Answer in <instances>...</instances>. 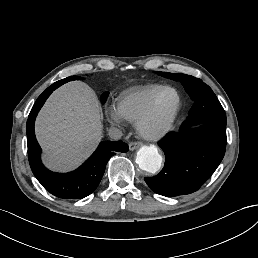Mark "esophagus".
<instances>
[{
	"instance_id": "obj_1",
	"label": "esophagus",
	"mask_w": 258,
	"mask_h": 258,
	"mask_svg": "<svg viewBox=\"0 0 258 258\" xmlns=\"http://www.w3.org/2000/svg\"><path fill=\"white\" fill-rule=\"evenodd\" d=\"M142 146V142H139V141H133V142H130L129 143V149L132 151V150H135L139 147Z\"/></svg>"
}]
</instances>
